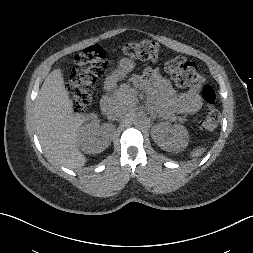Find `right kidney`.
<instances>
[{
	"mask_svg": "<svg viewBox=\"0 0 253 253\" xmlns=\"http://www.w3.org/2000/svg\"><path fill=\"white\" fill-rule=\"evenodd\" d=\"M113 132V127L99 126L98 121H92L80 129L77 139L79 147L88 154L101 153L110 145Z\"/></svg>",
	"mask_w": 253,
	"mask_h": 253,
	"instance_id": "ca27d5eb",
	"label": "right kidney"
}]
</instances>
